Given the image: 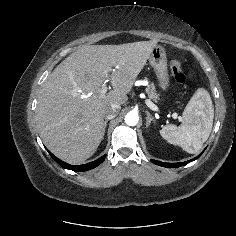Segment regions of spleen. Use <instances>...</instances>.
Instances as JSON below:
<instances>
[{
	"mask_svg": "<svg viewBox=\"0 0 236 236\" xmlns=\"http://www.w3.org/2000/svg\"><path fill=\"white\" fill-rule=\"evenodd\" d=\"M214 118V108L208 91L199 88L183 111L182 124L165 125L161 136L170 144L181 146L190 154L198 152L208 139Z\"/></svg>",
	"mask_w": 236,
	"mask_h": 236,
	"instance_id": "1",
	"label": "spleen"
}]
</instances>
